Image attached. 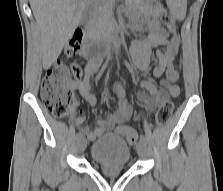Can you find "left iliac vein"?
Segmentation results:
<instances>
[{
    "label": "left iliac vein",
    "instance_id": "obj_1",
    "mask_svg": "<svg viewBox=\"0 0 223 191\" xmlns=\"http://www.w3.org/2000/svg\"><path fill=\"white\" fill-rule=\"evenodd\" d=\"M137 153L140 158H145L146 156V144L144 142H139L136 146Z\"/></svg>",
    "mask_w": 223,
    "mask_h": 191
}]
</instances>
